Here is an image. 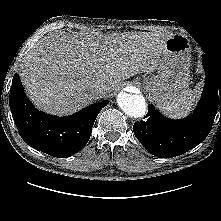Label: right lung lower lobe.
<instances>
[{"label":"right lung lower lobe","instance_id":"right-lung-lower-lobe-1","mask_svg":"<svg viewBox=\"0 0 221 221\" xmlns=\"http://www.w3.org/2000/svg\"><path fill=\"white\" fill-rule=\"evenodd\" d=\"M109 101L92 104L66 117L37 110L24 93L18 74L13 77L9 105L22 139L34 149L54 157H69L87 144L99 112Z\"/></svg>","mask_w":221,"mask_h":221}]
</instances>
